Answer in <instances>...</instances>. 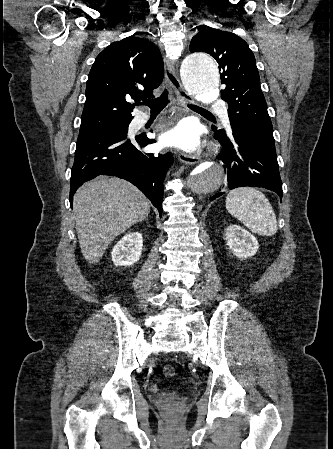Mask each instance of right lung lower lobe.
<instances>
[{"label": "right lung lower lobe", "mask_w": 333, "mask_h": 449, "mask_svg": "<svg viewBox=\"0 0 333 449\" xmlns=\"http://www.w3.org/2000/svg\"><path fill=\"white\" fill-rule=\"evenodd\" d=\"M127 132L78 137L70 179L71 207L73 194L84 182L98 175H111L137 186L162 215L163 180L172 155L141 152L140 148L155 140L146 135L130 140Z\"/></svg>", "instance_id": "1"}]
</instances>
